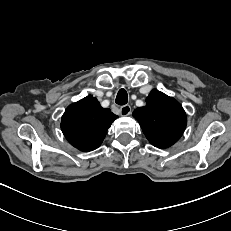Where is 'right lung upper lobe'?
I'll return each mask as SVG.
<instances>
[{"label": "right lung upper lobe", "mask_w": 231, "mask_h": 231, "mask_svg": "<svg viewBox=\"0 0 231 231\" xmlns=\"http://www.w3.org/2000/svg\"><path fill=\"white\" fill-rule=\"evenodd\" d=\"M116 118L110 109L102 108L95 97L87 96L67 107L61 129L72 146L87 152L101 145Z\"/></svg>", "instance_id": "obj_1"}]
</instances>
